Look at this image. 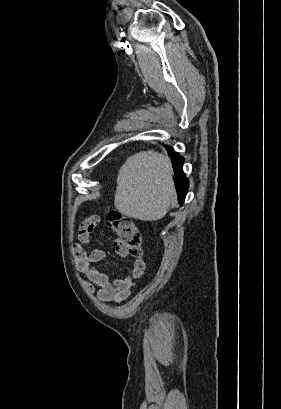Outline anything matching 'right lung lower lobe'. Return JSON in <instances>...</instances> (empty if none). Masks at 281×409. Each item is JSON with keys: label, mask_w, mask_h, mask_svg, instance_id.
Returning <instances> with one entry per match:
<instances>
[{"label": "right lung lower lobe", "mask_w": 281, "mask_h": 409, "mask_svg": "<svg viewBox=\"0 0 281 409\" xmlns=\"http://www.w3.org/2000/svg\"><path fill=\"white\" fill-rule=\"evenodd\" d=\"M168 152L173 158L172 164L175 173V179L177 182L176 189L178 200L180 204H183L188 191V180L182 170L184 159L180 155H178L171 147H168Z\"/></svg>", "instance_id": "1"}]
</instances>
